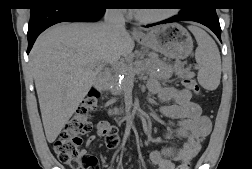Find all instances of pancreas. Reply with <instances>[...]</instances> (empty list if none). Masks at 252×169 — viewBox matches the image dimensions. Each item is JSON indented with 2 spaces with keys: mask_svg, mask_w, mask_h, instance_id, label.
<instances>
[{
  "mask_svg": "<svg viewBox=\"0 0 252 169\" xmlns=\"http://www.w3.org/2000/svg\"><path fill=\"white\" fill-rule=\"evenodd\" d=\"M182 66L183 63L181 62H176L174 65L166 63L160 60L159 57L153 53L149 54V58L147 59L139 60L132 65H128V67L133 69L134 74L145 73L148 75H154L161 80H168L172 77L173 73L179 71ZM157 69H159V72H157ZM118 73L120 72L117 71L116 73H113L107 77V79L104 81V86L106 88H109L111 84L115 83L117 80L115 77Z\"/></svg>",
  "mask_w": 252,
  "mask_h": 169,
  "instance_id": "1",
  "label": "pancreas"
}]
</instances>
